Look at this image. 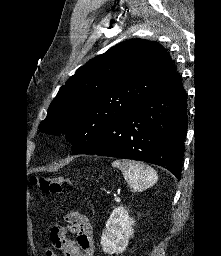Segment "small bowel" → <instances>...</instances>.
I'll return each instance as SVG.
<instances>
[{
  "mask_svg": "<svg viewBox=\"0 0 221 256\" xmlns=\"http://www.w3.org/2000/svg\"><path fill=\"white\" fill-rule=\"evenodd\" d=\"M68 227L55 226L50 233L52 245L64 256H93V229L88 218L80 213L71 212L66 216ZM76 233V239L65 237L67 231ZM47 256H56L53 250L47 251Z\"/></svg>",
  "mask_w": 221,
  "mask_h": 256,
  "instance_id": "small-bowel-1",
  "label": "small bowel"
}]
</instances>
